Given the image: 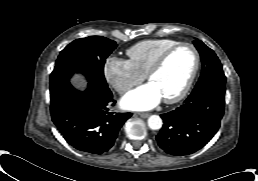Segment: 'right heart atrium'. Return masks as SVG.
Masks as SVG:
<instances>
[{
	"label": "right heart atrium",
	"instance_id": "1",
	"mask_svg": "<svg viewBox=\"0 0 258 181\" xmlns=\"http://www.w3.org/2000/svg\"><path fill=\"white\" fill-rule=\"evenodd\" d=\"M103 73L108 84L121 94L140 84L145 78L128 60L113 56L106 59Z\"/></svg>",
	"mask_w": 258,
	"mask_h": 181
}]
</instances>
